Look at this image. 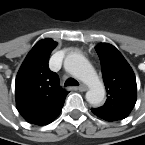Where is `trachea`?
Masks as SVG:
<instances>
[{
    "label": "trachea",
    "instance_id": "obj_1",
    "mask_svg": "<svg viewBox=\"0 0 145 145\" xmlns=\"http://www.w3.org/2000/svg\"><path fill=\"white\" fill-rule=\"evenodd\" d=\"M78 85L79 83L74 79H68L64 84V86H78Z\"/></svg>",
    "mask_w": 145,
    "mask_h": 145
}]
</instances>
